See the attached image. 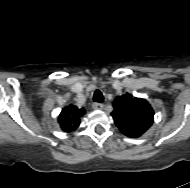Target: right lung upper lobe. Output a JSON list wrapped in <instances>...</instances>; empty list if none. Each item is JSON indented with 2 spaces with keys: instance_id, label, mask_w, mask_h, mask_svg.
<instances>
[{
  "instance_id": "1",
  "label": "right lung upper lobe",
  "mask_w": 190,
  "mask_h": 188,
  "mask_svg": "<svg viewBox=\"0 0 190 188\" xmlns=\"http://www.w3.org/2000/svg\"><path fill=\"white\" fill-rule=\"evenodd\" d=\"M86 110L84 108H78L75 105L70 104L62 109L58 122L61 129L64 132H71L78 128L81 117L84 116Z\"/></svg>"
}]
</instances>
